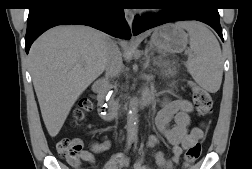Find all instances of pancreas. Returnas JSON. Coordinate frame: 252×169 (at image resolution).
I'll list each match as a JSON object with an SVG mask.
<instances>
[{"label": "pancreas", "mask_w": 252, "mask_h": 169, "mask_svg": "<svg viewBox=\"0 0 252 169\" xmlns=\"http://www.w3.org/2000/svg\"><path fill=\"white\" fill-rule=\"evenodd\" d=\"M162 66L166 68L164 71L166 74H174L175 71L168 66V63H163Z\"/></svg>", "instance_id": "1"}]
</instances>
